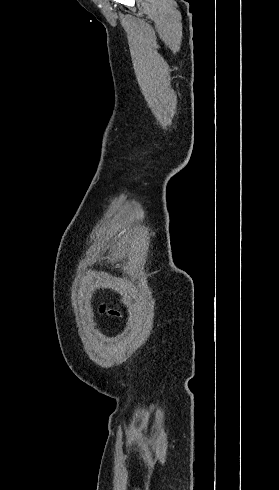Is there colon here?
Returning <instances> with one entry per match:
<instances>
[{
	"instance_id": "obj_1",
	"label": "colon",
	"mask_w": 279,
	"mask_h": 490,
	"mask_svg": "<svg viewBox=\"0 0 279 490\" xmlns=\"http://www.w3.org/2000/svg\"><path fill=\"white\" fill-rule=\"evenodd\" d=\"M101 309H102L103 311H107V309H106L105 307H102Z\"/></svg>"
}]
</instances>
